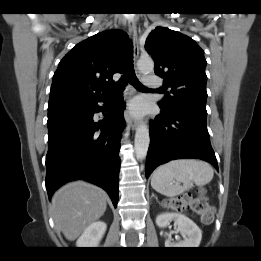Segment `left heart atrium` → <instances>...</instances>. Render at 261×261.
Segmentation results:
<instances>
[{
	"label": "left heart atrium",
	"mask_w": 261,
	"mask_h": 261,
	"mask_svg": "<svg viewBox=\"0 0 261 261\" xmlns=\"http://www.w3.org/2000/svg\"><path fill=\"white\" fill-rule=\"evenodd\" d=\"M133 112L135 114H141L143 112V107L140 103L136 102L134 105H133Z\"/></svg>",
	"instance_id": "left-heart-atrium-1"
}]
</instances>
